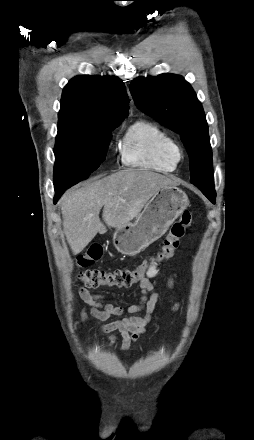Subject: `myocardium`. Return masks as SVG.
Wrapping results in <instances>:
<instances>
[{"label": "myocardium", "mask_w": 254, "mask_h": 440, "mask_svg": "<svg viewBox=\"0 0 254 440\" xmlns=\"http://www.w3.org/2000/svg\"><path fill=\"white\" fill-rule=\"evenodd\" d=\"M170 156L175 162H179L183 157V151L180 145L175 143L172 148L170 149Z\"/></svg>", "instance_id": "1"}]
</instances>
